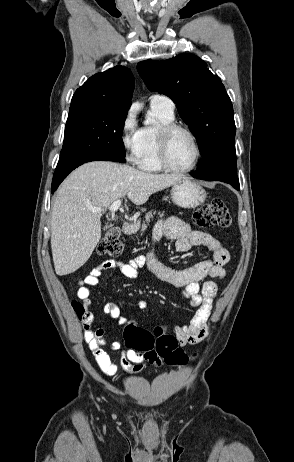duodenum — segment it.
Segmentation results:
<instances>
[{
    "mask_svg": "<svg viewBox=\"0 0 294 462\" xmlns=\"http://www.w3.org/2000/svg\"><path fill=\"white\" fill-rule=\"evenodd\" d=\"M134 228H135V226L131 222L126 221V222H124V224L122 226V233L125 234V235H129L134 231Z\"/></svg>",
    "mask_w": 294,
    "mask_h": 462,
    "instance_id": "obj_1",
    "label": "duodenum"
}]
</instances>
